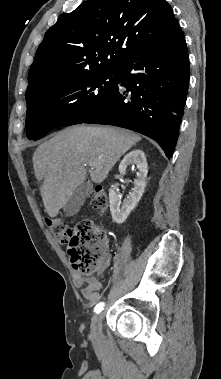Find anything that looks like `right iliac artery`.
<instances>
[{"label":"right iliac artery","mask_w":221,"mask_h":379,"mask_svg":"<svg viewBox=\"0 0 221 379\" xmlns=\"http://www.w3.org/2000/svg\"><path fill=\"white\" fill-rule=\"evenodd\" d=\"M104 306H105V303H104V302H99V303L95 306V308H94V312H95V313H99V312H101V311L103 310Z\"/></svg>","instance_id":"82829eb1"}]
</instances>
